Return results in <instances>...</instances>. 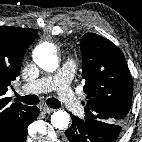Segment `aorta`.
<instances>
[{
	"label": "aorta",
	"mask_w": 142,
	"mask_h": 142,
	"mask_svg": "<svg viewBox=\"0 0 142 142\" xmlns=\"http://www.w3.org/2000/svg\"><path fill=\"white\" fill-rule=\"evenodd\" d=\"M35 63L43 70L53 72L58 67V55L54 44L44 42L39 44L33 51ZM70 121V116L66 111H55L51 116V124L59 130L65 129Z\"/></svg>",
	"instance_id": "obj_1"
}]
</instances>
